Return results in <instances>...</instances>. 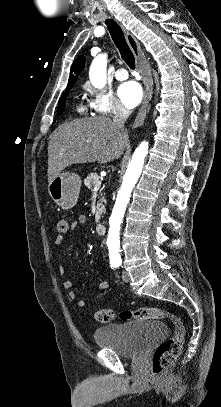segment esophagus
I'll return each instance as SVG.
<instances>
[{
    "mask_svg": "<svg viewBox=\"0 0 221 407\" xmlns=\"http://www.w3.org/2000/svg\"><path fill=\"white\" fill-rule=\"evenodd\" d=\"M121 27L125 32L127 42L136 58L137 68L140 71V73L144 79V84H145L142 104H141V107L137 113V116H136L134 124H133L134 128H138L143 125L145 117H146L148 105H149V102L151 100L152 93H153L152 92L153 81H152L150 70L143 60V54H142V50H141L139 42L136 40V38L134 37V35L132 33L128 32L124 28V26L122 24H121Z\"/></svg>",
    "mask_w": 221,
    "mask_h": 407,
    "instance_id": "34e87169",
    "label": "esophagus"
}]
</instances>
